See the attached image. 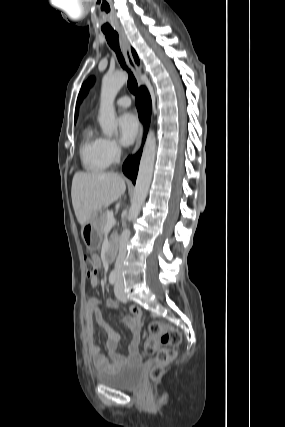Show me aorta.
Wrapping results in <instances>:
<instances>
[{
	"mask_svg": "<svg viewBox=\"0 0 285 427\" xmlns=\"http://www.w3.org/2000/svg\"><path fill=\"white\" fill-rule=\"evenodd\" d=\"M126 81L127 75L124 72L105 75L102 79L98 121L100 123L103 134L108 137H111L114 133L117 132L114 100L117 93L126 83ZM155 156L156 138L154 132L150 130L147 135L140 160L137 180L128 213L129 221L137 218L148 195L153 175Z\"/></svg>",
	"mask_w": 285,
	"mask_h": 427,
	"instance_id": "762f6f07",
	"label": "aorta"
}]
</instances>
